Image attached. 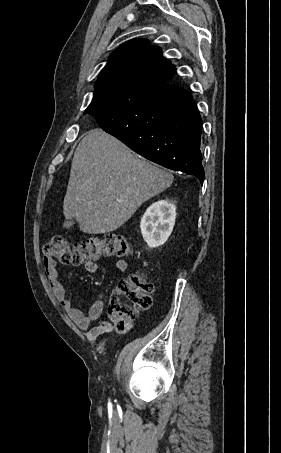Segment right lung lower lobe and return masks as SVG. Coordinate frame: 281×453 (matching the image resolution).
Segmentation results:
<instances>
[{
  "instance_id": "obj_1",
  "label": "right lung lower lobe",
  "mask_w": 281,
  "mask_h": 453,
  "mask_svg": "<svg viewBox=\"0 0 281 453\" xmlns=\"http://www.w3.org/2000/svg\"><path fill=\"white\" fill-rule=\"evenodd\" d=\"M84 115L148 160L192 174L203 183L202 120L188 91L169 82Z\"/></svg>"
}]
</instances>
